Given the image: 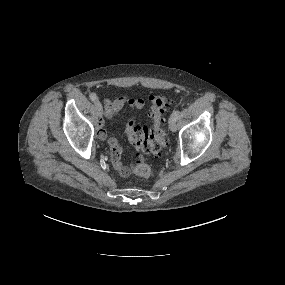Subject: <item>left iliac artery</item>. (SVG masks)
Here are the masks:
<instances>
[{"mask_svg":"<svg viewBox=\"0 0 285 285\" xmlns=\"http://www.w3.org/2000/svg\"><path fill=\"white\" fill-rule=\"evenodd\" d=\"M179 114H180V111L179 110H175V111H173L171 116L174 117L177 120L178 117H179Z\"/></svg>","mask_w":285,"mask_h":285,"instance_id":"left-iliac-artery-1","label":"left iliac artery"}]
</instances>
